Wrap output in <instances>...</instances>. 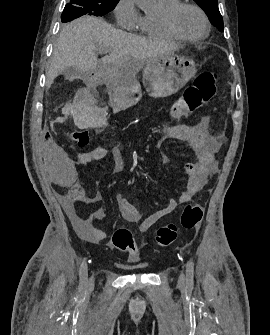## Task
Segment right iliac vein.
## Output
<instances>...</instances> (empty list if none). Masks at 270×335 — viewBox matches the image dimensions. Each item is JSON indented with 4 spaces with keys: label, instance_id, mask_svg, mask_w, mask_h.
I'll use <instances>...</instances> for the list:
<instances>
[{
    "label": "right iliac vein",
    "instance_id": "right-iliac-vein-1",
    "mask_svg": "<svg viewBox=\"0 0 270 335\" xmlns=\"http://www.w3.org/2000/svg\"><path fill=\"white\" fill-rule=\"evenodd\" d=\"M88 285H89V287H92L94 285V278L93 277H90Z\"/></svg>",
    "mask_w": 270,
    "mask_h": 335
}]
</instances>
